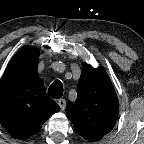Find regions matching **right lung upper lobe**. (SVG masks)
Returning a JSON list of instances; mask_svg holds the SVG:
<instances>
[{"label":"right lung upper lobe","instance_id":"1","mask_svg":"<svg viewBox=\"0 0 144 144\" xmlns=\"http://www.w3.org/2000/svg\"><path fill=\"white\" fill-rule=\"evenodd\" d=\"M38 57V49L23 48L11 59L0 81V122L16 139L36 134L60 110L38 76Z\"/></svg>","mask_w":144,"mask_h":144}]
</instances>
